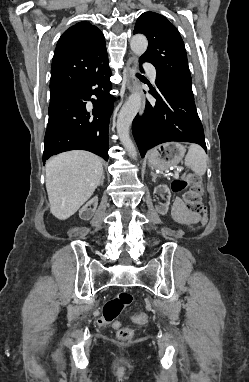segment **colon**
Instances as JSON below:
<instances>
[{
  "mask_svg": "<svg viewBox=\"0 0 249 382\" xmlns=\"http://www.w3.org/2000/svg\"><path fill=\"white\" fill-rule=\"evenodd\" d=\"M188 185L190 187L184 193V201L187 209L191 213L199 214L202 217V223H205L207 210L202 203L203 189L197 176H192L191 180L178 179L172 182V190L174 192L184 191ZM132 302V295L129 292L123 291L108 300L102 309V316L99 320L100 325L111 324L114 329L120 328V323L116 321L122 310ZM134 320L137 323L144 324L148 321V316L145 312H139ZM133 336L131 328H120L117 332V337L121 341H129Z\"/></svg>",
  "mask_w": 249,
  "mask_h": 382,
  "instance_id": "colon-1",
  "label": "colon"
}]
</instances>
